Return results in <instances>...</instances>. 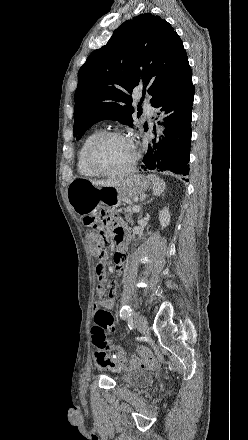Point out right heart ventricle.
Masks as SVG:
<instances>
[{
  "mask_svg": "<svg viewBox=\"0 0 248 440\" xmlns=\"http://www.w3.org/2000/svg\"><path fill=\"white\" fill-rule=\"evenodd\" d=\"M102 133L101 129H95L90 132L83 140L77 154L78 172L87 177H95L96 174L89 168L87 163V151L93 140Z\"/></svg>",
  "mask_w": 248,
  "mask_h": 440,
  "instance_id": "obj_1",
  "label": "right heart ventricle"
}]
</instances>
